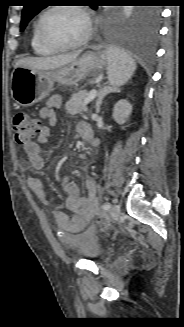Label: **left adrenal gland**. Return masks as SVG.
I'll use <instances>...</instances> for the list:
<instances>
[{
  "label": "left adrenal gland",
  "mask_w": 184,
  "mask_h": 327,
  "mask_svg": "<svg viewBox=\"0 0 184 327\" xmlns=\"http://www.w3.org/2000/svg\"><path fill=\"white\" fill-rule=\"evenodd\" d=\"M120 92L119 89L115 88V87H111L108 85H103L102 87H100L98 94H97V101H96V113L100 112V107L102 105V101L103 99L110 93H117Z\"/></svg>",
  "instance_id": "left-adrenal-gland-1"
}]
</instances>
